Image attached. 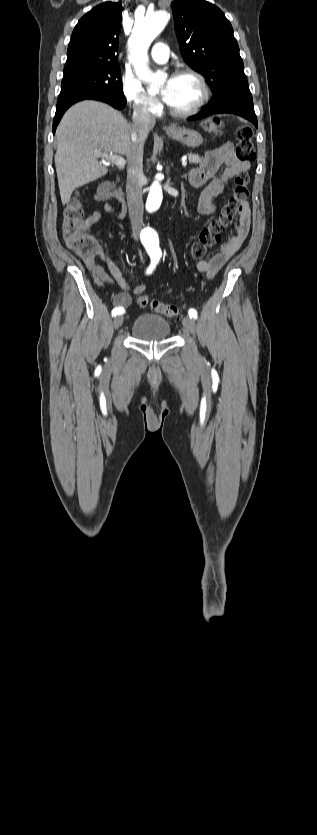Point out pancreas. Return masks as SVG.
I'll return each instance as SVG.
<instances>
[{
    "mask_svg": "<svg viewBox=\"0 0 317 835\" xmlns=\"http://www.w3.org/2000/svg\"><path fill=\"white\" fill-rule=\"evenodd\" d=\"M188 158H189L190 163H193V164H198V163L201 162V157L198 154L190 153L188 155Z\"/></svg>",
    "mask_w": 317,
    "mask_h": 835,
    "instance_id": "1",
    "label": "pancreas"
}]
</instances>
